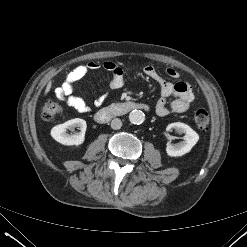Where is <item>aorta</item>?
<instances>
[{
	"mask_svg": "<svg viewBox=\"0 0 247 247\" xmlns=\"http://www.w3.org/2000/svg\"><path fill=\"white\" fill-rule=\"evenodd\" d=\"M145 120V114L141 110H132L129 113V121L132 124L140 125Z\"/></svg>",
	"mask_w": 247,
	"mask_h": 247,
	"instance_id": "762f6f07",
	"label": "aorta"
}]
</instances>
